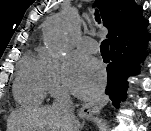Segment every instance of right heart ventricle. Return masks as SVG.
Masks as SVG:
<instances>
[{
  "label": "right heart ventricle",
  "instance_id": "1",
  "mask_svg": "<svg viewBox=\"0 0 151 131\" xmlns=\"http://www.w3.org/2000/svg\"><path fill=\"white\" fill-rule=\"evenodd\" d=\"M15 99L22 105H38L46 96L44 62L32 54L21 60L14 82Z\"/></svg>",
  "mask_w": 151,
  "mask_h": 131
}]
</instances>
